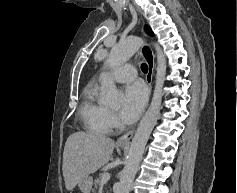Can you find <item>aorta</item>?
Listing matches in <instances>:
<instances>
[{
  "mask_svg": "<svg viewBox=\"0 0 237 193\" xmlns=\"http://www.w3.org/2000/svg\"><path fill=\"white\" fill-rule=\"evenodd\" d=\"M142 39L137 36H130L124 41L114 45L110 51L106 64L109 68H114L125 63L140 48ZM157 53L156 81L153 97L148 110L140 121V124L132 139L126 164L120 174V182L117 193H129L134 177L137 173L142 159L145 146L149 136L159 118L163 85L166 76V58L158 45H154ZM121 97V92L116 88L112 80L105 83V95L103 100L106 103H116Z\"/></svg>",
  "mask_w": 237,
  "mask_h": 193,
  "instance_id": "aorta-1",
  "label": "aorta"
}]
</instances>
